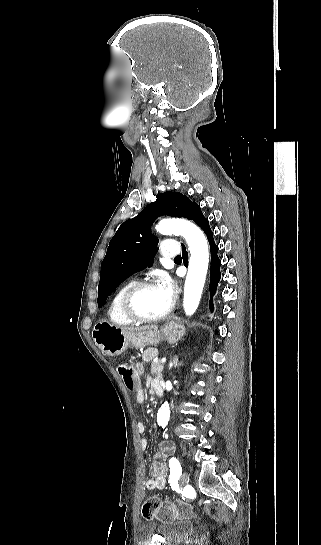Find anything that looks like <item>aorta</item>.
Wrapping results in <instances>:
<instances>
[{"label":"aorta","instance_id":"obj_1","mask_svg":"<svg viewBox=\"0 0 321 545\" xmlns=\"http://www.w3.org/2000/svg\"><path fill=\"white\" fill-rule=\"evenodd\" d=\"M156 230L162 235H182L191 254L188 273L184 286V311L186 315H193L198 308L204 287L209 263L207 240L203 232L193 223L180 219H163L156 225ZM170 408L167 402L157 414L158 425L164 428L169 421Z\"/></svg>","mask_w":321,"mask_h":545}]
</instances>
